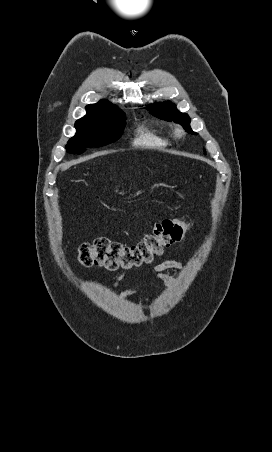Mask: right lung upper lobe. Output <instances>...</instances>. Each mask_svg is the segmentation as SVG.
Masks as SVG:
<instances>
[{
	"mask_svg": "<svg viewBox=\"0 0 272 452\" xmlns=\"http://www.w3.org/2000/svg\"><path fill=\"white\" fill-rule=\"evenodd\" d=\"M116 108L115 106H113L112 104H110L108 101L106 100H102L97 104H90L86 106V110H87V114L77 120L76 122H80V121H84L96 116H99L107 111H110L112 109Z\"/></svg>",
	"mask_w": 272,
	"mask_h": 452,
	"instance_id": "1",
	"label": "right lung upper lobe"
}]
</instances>
